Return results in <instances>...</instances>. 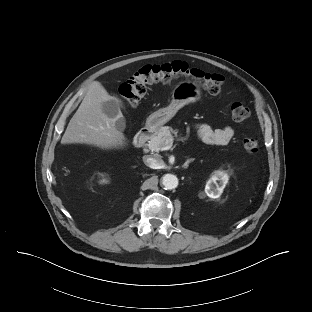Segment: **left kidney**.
<instances>
[{"label": "left kidney", "mask_w": 312, "mask_h": 312, "mask_svg": "<svg viewBox=\"0 0 312 312\" xmlns=\"http://www.w3.org/2000/svg\"><path fill=\"white\" fill-rule=\"evenodd\" d=\"M219 182V184L217 183ZM228 182V176L223 171H215L213 178L209 179L205 186V193L210 198H219L225 185Z\"/></svg>", "instance_id": "obj_1"}]
</instances>
